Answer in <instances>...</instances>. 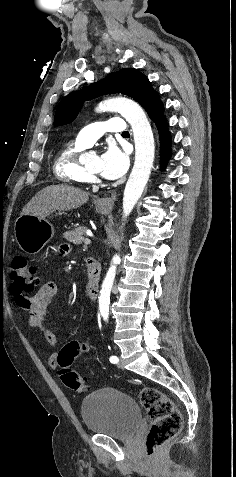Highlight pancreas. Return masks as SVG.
<instances>
[{"mask_svg": "<svg viewBox=\"0 0 236 477\" xmlns=\"http://www.w3.org/2000/svg\"><path fill=\"white\" fill-rule=\"evenodd\" d=\"M87 228L85 226H80L74 230L65 232L63 237L69 242L79 245L84 241V236L86 235Z\"/></svg>", "mask_w": 236, "mask_h": 477, "instance_id": "obj_1", "label": "pancreas"}]
</instances>
